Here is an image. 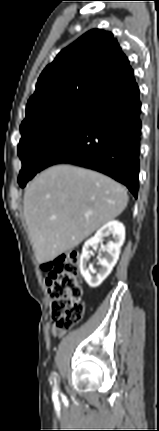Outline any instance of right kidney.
Masks as SVG:
<instances>
[{
    "instance_id": "obj_1",
    "label": "right kidney",
    "mask_w": 159,
    "mask_h": 431,
    "mask_svg": "<svg viewBox=\"0 0 159 431\" xmlns=\"http://www.w3.org/2000/svg\"><path fill=\"white\" fill-rule=\"evenodd\" d=\"M109 235H112V240L102 249L103 255L98 257L100 267L97 271H92L89 263L90 247L97 246L104 237ZM124 240L125 227L121 222L114 220L102 226L94 237L85 242L80 257L79 268L82 276L91 288L98 287L111 273L119 258L120 248Z\"/></svg>"
}]
</instances>
